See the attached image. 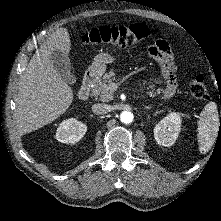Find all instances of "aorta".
I'll return each mask as SVG.
<instances>
[{
  "label": "aorta",
  "instance_id": "1",
  "mask_svg": "<svg viewBox=\"0 0 221 221\" xmlns=\"http://www.w3.org/2000/svg\"><path fill=\"white\" fill-rule=\"evenodd\" d=\"M133 114L129 111H123L121 114H120V120L122 123L124 124H129L133 121Z\"/></svg>",
  "mask_w": 221,
  "mask_h": 221
}]
</instances>
